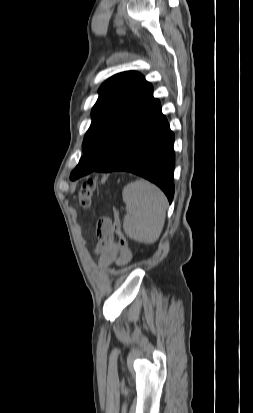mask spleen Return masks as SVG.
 <instances>
[{
	"instance_id": "1",
	"label": "spleen",
	"mask_w": 253,
	"mask_h": 413,
	"mask_svg": "<svg viewBox=\"0 0 253 413\" xmlns=\"http://www.w3.org/2000/svg\"><path fill=\"white\" fill-rule=\"evenodd\" d=\"M122 197L126 204L125 234L141 243L156 242L166 217L167 198L164 193L154 184L140 179L125 186Z\"/></svg>"
}]
</instances>
